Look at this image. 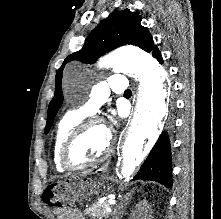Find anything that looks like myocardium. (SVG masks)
Wrapping results in <instances>:
<instances>
[{
  "mask_svg": "<svg viewBox=\"0 0 221 219\" xmlns=\"http://www.w3.org/2000/svg\"><path fill=\"white\" fill-rule=\"evenodd\" d=\"M99 124L103 126L108 133V144L104 152L97 157L96 159L86 162V163H75L71 159V150L81 136L83 131L91 125ZM115 136L112 129L105 123V121L99 116H91L83 119L77 126H75L72 131L69 133L68 137L64 141L61 152H60V161L63 166L68 170H84L91 168L103 162L113 151L115 146Z\"/></svg>",
  "mask_w": 221,
  "mask_h": 219,
  "instance_id": "f54148a6",
  "label": "myocardium"
}]
</instances>
